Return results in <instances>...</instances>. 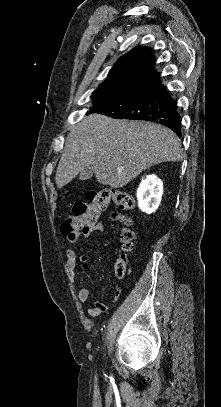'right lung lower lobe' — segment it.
<instances>
[{
	"label": "right lung lower lobe",
	"mask_w": 221,
	"mask_h": 407,
	"mask_svg": "<svg viewBox=\"0 0 221 407\" xmlns=\"http://www.w3.org/2000/svg\"><path fill=\"white\" fill-rule=\"evenodd\" d=\"M98 111L117 119L157 122L169 127L181 136L177 103L172 99L166 87L162 85L159 76L128 96L98 109Z\"/></svg>",
	"instance_id": "1"
}]
</instances>
